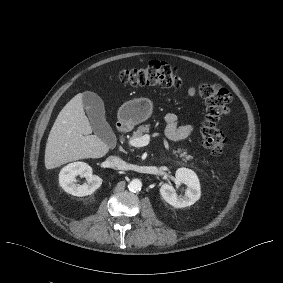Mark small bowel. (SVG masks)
<instances>
[{"mask_svg":"<svg viewBox=\"0 0 283 283\" xmlns=\"http://www.w3.org/2000/svg\"><path fill=\"white\" fill-rule=\"evenodd\" d=\"M196 93L194 87H189L186 93V98L193 97ZM166 136L173 142H179L188 138L193 132L192 125H178V117L174 113H167L164 117Z\"/></svg>","mask_w":283,"mask_h":283,"instance_id":"1","label":"small bowel"}]
</instances>
